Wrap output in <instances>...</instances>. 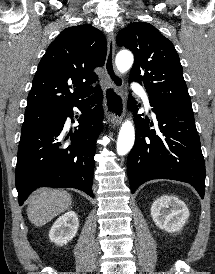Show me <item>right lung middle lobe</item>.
<instances>
[{"instance_id":"obj_1","label":"right lung middle lobe","mask_w":215,"mask_h":274,"mask_svg":"<svg viewBox=\"0 0 215 274\" xmlns=\"http://www.w3.org/2000/svg\"><path fill=\"white\" fill-rule=\"evenodd\" d=\"M59 110L54 109H42V110H32L25 111V119L22 126V134L31 131L38 126L53 119Z\"/></svg>"}]
</instances>
